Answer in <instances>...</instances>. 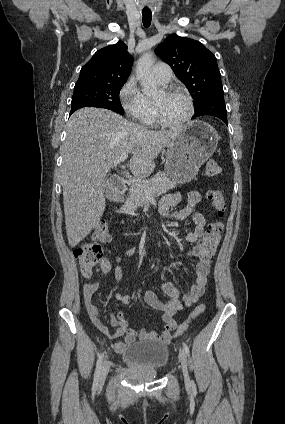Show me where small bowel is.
<instances>
[{
  "label": "small bowel",
  "mask_w": 285,
  "mask_h": 424,
  "mask_svg": "<svg viewBox=\"0 0 285 424\" xmlns=\"http://www.w3.org/2000/svg\"><path fill=\"white\" fill-rule=\"evenodd\" d=\"M180 201L181 197L178 193L165 195L159 205L160 212L164 217L175 222H180L190 217L193 228L186 234L185 239L189 243H197L206 235L205 217L201 212L195 211L196 206L202 201V194L198 191L189 192L185 206L179 211H173V208L177 206ZM134 253L135 248L126 247L121 250L120 255L116 258L117 264L114 270L116 284L122 280L121 262L123 258L132 256ZM190 254L197 256L199 259L195 269V280L188 292L181 293L170 281H164L161 284L162 292L168 297L167 302L160 301L157 295L151 290L145 292V302L151 308L163 312L161 320L164 324V329L160 333L145 329L138 332L129 327L120 311L115 313L107 311L106 315L110 324L116 328L115 332L109 333L108 328L100 319L99 307L94 302V295L99 288V281L89 282L84 285L83 298L89 318L100 332L110 339H116L113 344L115 352L123 353L126 346L134 343L137 339L153 340L168 344L174 337L182 334L177 332L178 326L174 320V316L183 307L191 306L200 299L205 291L210 272V260L199 257L196 254V248H194ZM109 268L110 266L107 262L102 263V271L104 273L107 272ZM116 299L122 304L130 303V297L126 294L116 293Z\"/></svg>",
  "instance_id": "c3829d8e"
}]
</instances>
